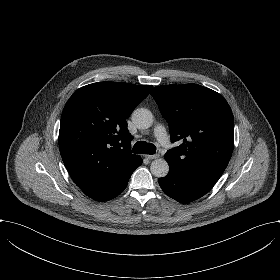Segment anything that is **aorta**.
I'll use <instances>...</instances> for the list:
<instances>
[{
  "label": "aorta",
  "instance_id": "1",
  "mask_svg": "<svg viewBox=\"0 0 280 280\" xmlns=\"http://www.w3.org/2000/svg\"><path fill=\"white\" fill-rule=\"evenodd\" d=\"M132 121L140 129H147L153 123L152 112L145 108L135 109L132 113ZM151 173L158 178L165 177L169 172V165L166 160L159 158L152 161Z\"/></svg>",
  "mask_w": 280,
  "mask_h": 280
}]
</instances>
